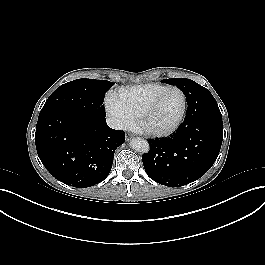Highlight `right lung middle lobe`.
<instances>
[{"mask_svg": "<svg viewBox=\"0 0 265 265\" xmlns=\"http://www.w3.org/2000/svg\"><path fill=\"white\" fill-rule=\"evenodd\" d=\"M113 84L105 80H73L58 87L49 96L42 110L68 108L78 111H94L106 115L103 99Z\"/></svg>", "mask_w": 265, "mask_h": 265, "instance_id": "right-lung-middle-lobe-1", "label": "right lung middle lobe"}]
</instances>
